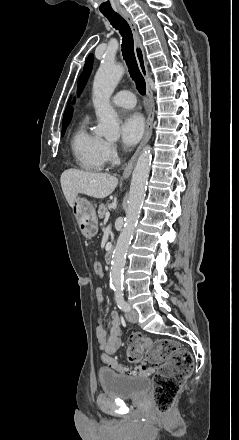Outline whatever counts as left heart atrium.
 <instances>
[{"instance_id": "left-heart-atrium-1", "label": "left heart atrium", "mask_w": 239, "mask_h": 440, "mask_svg": "<svg viewBox=\"0 0 239 440\" xmlns=\"http://www.w3.org/2000/svg\"><path fill=\"white\" fill-rule=\"evenodd\" d=\"M119 130L122 142L127 146L134 145L142 136L144 120L137 112L127 113L121 118Z\"/></svg>"}]
</instances>
